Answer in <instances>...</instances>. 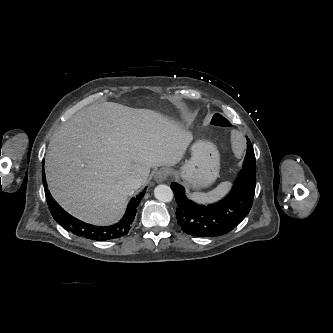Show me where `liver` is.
<instances>
[{"label": "liver", "mask_w": 333, "mask_h": 333, "mask_svg": "<svg viewBox=\"0 0 333 333\" xmlns=\"http://www.w3.org/2000/svg\"><path fill=\"white\" fill-rule=\"evenodd\" d=\"M192 140L191 132L154 111L91 105L53 135L45 164L48 188L74 217L108 225L130 195L125 176L135 172L145 183L150 168L180 162Z\"/></svg>", "instance_id": "6515ba94"}]
</instances>
